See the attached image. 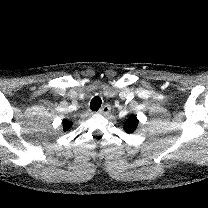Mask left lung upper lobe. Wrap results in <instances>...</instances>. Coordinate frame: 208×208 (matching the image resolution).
<instances>
[{
    "mask_svg": "<svg viewBox=\"0 0 208 208\" xmlns=\"http://www.w3.org/2000/svg\"><path fill=\"white\" fill-rule=\"evenodd\" d=\"M138 122L139 121L137 117L135 115H131L129 119L125 122V124L123 125L125 132L129 134L133 133L135 129L137 128Z\"/></svg>",
    "mask_w": 208,
    "mask_h": 208,
    "instance_id": "obj_1",
    "label": "left lung upper lobe"
}]
</instances>
